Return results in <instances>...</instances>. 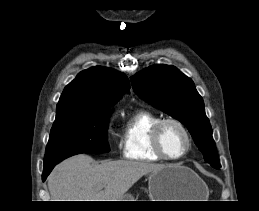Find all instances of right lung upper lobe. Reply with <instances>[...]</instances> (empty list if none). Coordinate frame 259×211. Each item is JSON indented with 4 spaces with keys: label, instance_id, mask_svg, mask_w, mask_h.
<instances>
[{
    "label": "right lung upper lobe",
    "instance_id": "right-lung-upper-lobe-1",
    "mask_svg": "<svg viewBox=\"0 0 259 211\" xmlns=\"http://www.w3.org/2000/svg\"><path fill=\"white\" fill-rule=\"evenodd\" d=\"M129 88L125 74L101 66L89 68L64 88L56 115L73 109L110 110Z\"/></svg>",
    "mask_w": 259,
    "mask_h": 211
}]
</instances>
